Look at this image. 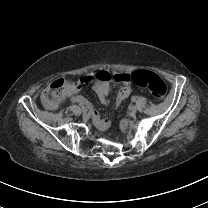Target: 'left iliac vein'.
Returning a JSON list of instances; mask_svg holds the SVG:
<instances>
[{"label": "left iliac vein", "mask_w": 208, "mask_h": 208, "mask_svg": "<svg viewBox=\"0 0 208 208\" xmlns=\"http://www.w3.org/2000/svg\"><path fill=\"white\" fill-rule=\"evenodd\" d=\"M137 112V107L136 106H130L129 107V113L130 115H133Z\"/></svg>", "instance_id": "obj_1"}]
</instances>
